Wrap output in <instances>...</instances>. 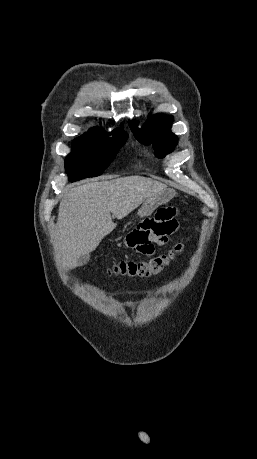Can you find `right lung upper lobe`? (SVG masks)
Segmentation results:
<instances>
[{
	"instance_id": "1",
	"label": "right lung upper lobe",
	"mask_w": 257,
	"mask_h": 459,
	"mask_svg": "<svg viewBox=\"0 0 257 459\" xmlns=\"http://www.w3.org/2000/svg\"><path fill=\"white\" fill-rule=\"evenodd\" d=\"M122 127H123V125H121L120 128L114 129L113 132H117V131L125 132L124 130H122ZM89 132H90V133H96V134H106V132H104V131H102V130H99V129H91ZM125 133H126V132H125Z\"/></svg>"
}]
</instances>
